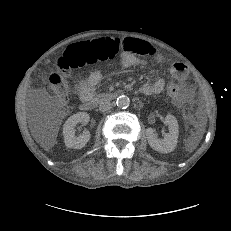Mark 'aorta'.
<instances>
[{"label": "aorta", "instance_id": "762f6f07", "mask_svg": "<svg viewBox=\"0 0 231 231\" xmlns=\"http://www.w3.org/2000/svg\"><path fill=\"white\" fill-rule=\"evenodd\" d=\"M116 104L119 108L126 109L130 105V99L125 95H121L117 98Z\"/></svg>", "mask_w": 231, "mask_h": 231}]
</instances>
